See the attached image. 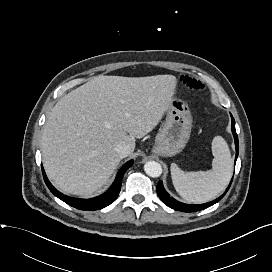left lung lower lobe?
I'll return each instance as SVG.
<instances>
[{
  "label": "left lung lower lobe",
  "instance_id": "left-lung-lower-lobe-1",
  "mask_svg": "<svg viewBox=\"0 0 272 272\" xmlns=\"http://www.w3.org/2000/svg\"><path fill=\"white\" fill-rule=\"evenodd\" d=\"M232 117V115H231ZM232 132L234 135V139H235V146H236V158L235 161L238 157V152H239V144H238V136L236 134V130H235V120L232 117ZM232 182V181H231ZM231 182L228 186V188L226 189V191L224 192L223 195H221L219 198L215 199L214 201L205 203V204H200V205H188V204H184L181 202L176 201L175 199H173L172 197H170V195L165 191L162 181H159L157 184V194L159 196V198L170 208L178 210V211H183V212H195V211H199V210H203L206 209L212 205H214L215 203H217L218 201H220L224 195L226 194V192L228 191Z\"/></svg>",
  "mask_w": 272,
  "mask_h": 272
}]
</instances>
